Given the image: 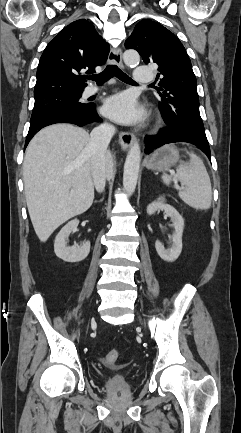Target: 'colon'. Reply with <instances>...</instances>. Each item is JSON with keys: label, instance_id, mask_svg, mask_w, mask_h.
Returning <instances> with one entry per match:
<instances>
[{"label": "colon", "instance_id": "colon-1", "mask_svg": "<svg viewBox=\"0 0 241 433\" xmlns=\"http://www.w3.org/2000/svg\"><path fill=\"white\" fill-rule=\"evenodd\" d=\"M118 356H119V352H118V350L113 349V350L109 351V352L107 353V355L105 356V358H104V363H105L106 365H109V366H110V365H113V364L116 362Z\"/></svg>", "mask_w": 241, "mask_h": 433}]
</instances>
